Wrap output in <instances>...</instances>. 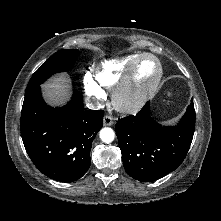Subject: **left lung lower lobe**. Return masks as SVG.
I'll list each match as a JSON object with an SVG mask.
<instances>
[{"mask_svg":"<svg viewBox=\"0 0 221 221\" xmlns=\"http://www.w3.org/2000/svg\"><path fill=\"white\" fill-rule=\"evenodd\" d=\"M126 172L136 180L151 182L174 171L184 160L195 130L194 104L177 126L163 127L150 116V103L135 116L115 126Z\"/></svg>","mask_w":221,"mask_h":221,"instance_id":"0a47b994","label":"left lung lower lobe"}]
</instances>
